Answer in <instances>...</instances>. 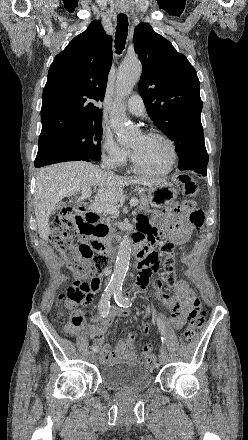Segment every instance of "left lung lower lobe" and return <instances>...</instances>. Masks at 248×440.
Here are the masks:
<instances>
[{
  "instance_id": "0a47b994",
  "label": "left lung lower lobe",
  "mask_w": 248,
  "mask_h": 440,
  "mask_svg": "<svg viewBox=\"0 0 248 440\" xmlns=\"http://www.w3.org/2000/svg\"><path fill=\"white\" fill-rule=\"evenodd\" d=\"M180 170H191V171H194V172H196V173H200V174H202L203 176H206L207 175V165H200V166H198V167H195V168H191V169H183V168H179Z\"/></svg>"
}]
</instances>
